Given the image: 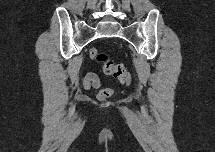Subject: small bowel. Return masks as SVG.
Instances as JSON below:
<instances>
[{
    "mask_svg": "<svg viewBox=\"0 0 215 152\" xmlns=\"http://www.w3.org/2000/svg\"><path fill=\"white\" fill-rule=\"evenodd\" d=\"M83 85L86 89H90L91 87L98 89L102 86V83L96 74L88 73L83 80Z\"/></svg>",
    "mask_w": 215,
    "mask_h": 152,
    "instance_id": "c3829d8e",
    "label": "small bowel"
}]
</instances>
